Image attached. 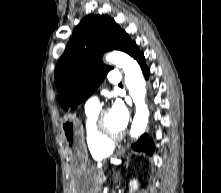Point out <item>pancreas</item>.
<instances>
[{
    "label": "pancreas",
    "mask_w": 221,
    "mask_h": 193,
    "mask_svg": "<svg viewBox=\"0 0 221 193\" xmlns=\"http://www.w3.org/2000/svg\"><path fill=\"white\" fill-rule=\"evenodd\" d=\"M104 176V171L102 169L97 170L95 174V185H96V192L101 189V178Z\"/></svg>",
    "instance_id": "pancreas-1"
}]
</instances>
